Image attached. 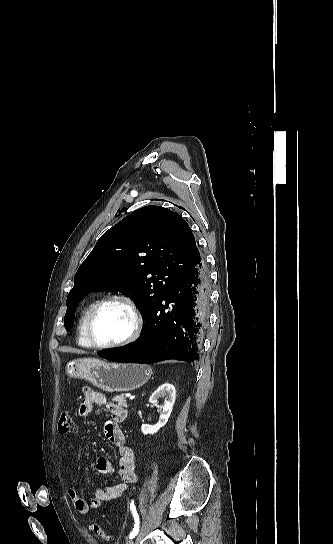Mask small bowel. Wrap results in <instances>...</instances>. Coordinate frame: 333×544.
Instances as JSON below:
<instances>
[{
    "instance_id": "c3829d8e",
    "label": "small bowel",
    "mask_w": 333,
    "mask_h": 544,
    "mask_svg": "<svg viewBox=\"0 0 333 544\" xmlns=\"http://www.w3.org/2000/svg\"><path fill=\"white\" fill-rule=\"evenodd\" d=\"M95 405H101L111 414V420L105 424V435L110 443L118 448L120 459L118 465V474L122 479L120 483H114L106 488H99L88 500L79 496L74 487L68 488V496L74 509L80 514H86L90 509H96L103 501H110L122 496L127 490L128 485L137 481L135 471V456L133 450L126 445V439L119 424L127 416V412L121 405L107 401L105 396L89 387H83L82 399L79 405V415L87 416ZM89 434V430H85ZM96 468L101 474H111L115 471L113 464L105 457H99L96 462Z\"/></svg>"
}]
</instances>
